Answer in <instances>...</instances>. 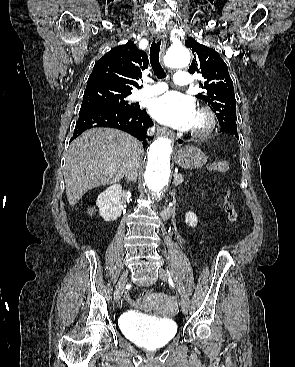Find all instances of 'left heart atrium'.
Masks as SVG:
<instances>
[{"label":"left heart atrium","instance_id":"obj_1","mask_svg":"<svg viewBox=\"0 0 295 367\" xmlns=\"http://www.w3.org/2000/svg\"><path fill=\"white\" fill-rule=\"evenodd\" d=\"M149 113L158 122L177 129L190 128L196 117L193 100L176 91L152 100Z\"/></svg>","mask_w":295,"mask_h":367}]
</instances>
